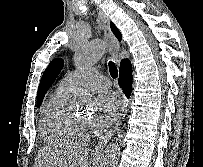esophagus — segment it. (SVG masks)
Instances as JSON below:
<instances>
[{
  "instance_id": "34e87169",
  "label": "esophagus",
  "mask_w": 203,
  "mask_h": 167,
  "mask_svg": "<svg viewBox=\"0 0 203 167\" xmlns=\"http://www.w3.org/2000/svg\"><path fill=\"white\" fill-rule=\"evenodd\" d=\"M99 15L102 20L104 35H105L106 40L108 41L111 55H112L113 59L118 63L120 61V57H119L120 44L111 31L109 18L107 16H105L103 13H99ZM127 108H128V100L126 98H124L122 112L120 114L118 121L104 136H102L99 139V141L95 147L96 152H101L104 149V147L106 146L107 142L118 131V129L127 113Z\"/></svg>"
}]
</instances>
